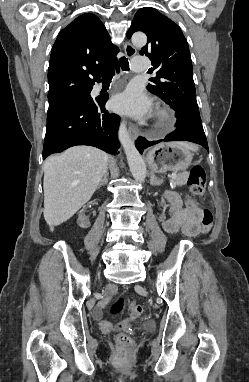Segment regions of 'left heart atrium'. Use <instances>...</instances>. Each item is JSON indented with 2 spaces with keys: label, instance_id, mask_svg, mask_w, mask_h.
<instances>
[{
  "label": "left heart atrium",
  "instance_id": "obj_1",
  "mask_svg": "<svg viewBox=\"0 0 249 382\" xmlns=\"http://www.w3.org/2000/svg\"><path fill=\"white\" fill-rule=\"evenodd\" d=\"M111 106L117 112L127 113L138 118L146 116L151 109L149 99L137 87H129L116 95L111 101Z\"/></svg>",
  "mask_w": 249,
  "mask_h": 382
}]
</instances>
